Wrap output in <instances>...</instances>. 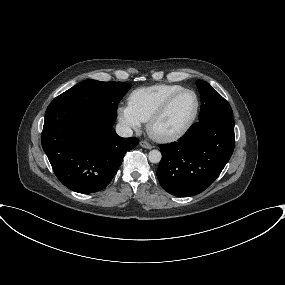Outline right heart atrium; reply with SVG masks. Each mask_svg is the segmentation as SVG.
I'll use <instances>...</instances> for the list:
<instances>
[{
    "label": "right heart atrium",
    "instance_id": "1",
    "mask_svg": "<svg viewBox=\"0 0 285 285\" xmlns=\"http://www.w3.org/2000/svg\"><path fill=\"white\" fill-rule=\"evenodd\" d=\"M119 122L129 130H139L142 124L140 118L136 115L130 105H120L117 108Z\"/></svg>",
    "mask_w": 285,
    "mask_h": 285
}]
</instances>
